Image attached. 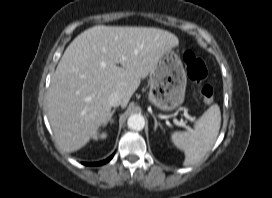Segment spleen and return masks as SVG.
Returning a JSON list of instances; mask_svg holds the SVG:
<instances>
[{
	"instance_id": "obj_1",
	"label": "spleen",
	"mask_w": 272,
	"mask_h": 198,
	"mask_svg": "<svg viewBox=\"0 0 272 198\" xmlns=\"http://www.w3.org/2000/svg\"><path fill=\"white\" fill-rule=\"evenodd\" d=\"M221 125V112L217 104L210 106L198 119L191 131L171 134L173 144L184 151V166L200 161L213 147Z\"/></svg>"
}]
</instances>
